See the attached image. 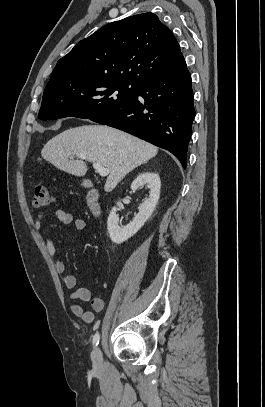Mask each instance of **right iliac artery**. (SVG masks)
<instances>
[{"label":"right iliac artery","instance_id":"right-iliac-artery-1","mask_svg":"<svg viewBox=\"0 0 265 407\" xmlns=\"http://www.w3.org/2000/svg\"><path fill=\"white\" fill-rule=\"evenodd\" d=\"M99 340H100V335H99V333H96L94 335V337H93V345H94V347L99 344Z\"/></svg>","mask_w":265,"mask_h":407}]
</instances>
